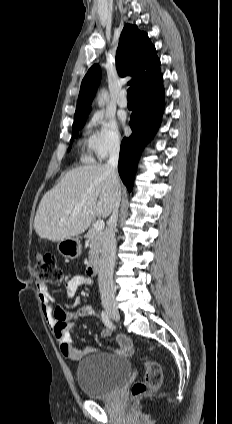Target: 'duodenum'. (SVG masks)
Masks as SVG:
<instances>
[{"label":"duodenum","instance_id":"duodenum-1","mask_svg":"<svg viewBox=\"0 0 232 424\" xmlns=\"http://www.w3.org/2000/svg\"><path fill=\"white\" fill-rule=\"evenodd\" d=\"M99 270V261L97 258H93L86 269V272L89 276H95Z\"/></svg>","mask_w":232,"mask_h":424}]
</instances>
